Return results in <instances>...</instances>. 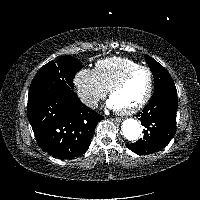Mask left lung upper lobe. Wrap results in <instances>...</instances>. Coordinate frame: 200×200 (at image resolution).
Wrapping results in <instances>:
<instances>
[{"label":"left lung upper lobe","instance_id":"obj_1","mask_svg":"<svg viewBox=\"0 0 200 200\" xmlns=\"http://www.w3.org/2000/svg\"><path fill=\"white\" fill-rule=\"evenodd\" d=\"M146 60L154 75L155 92L160 89H176L172 77L161 64L148 55H146Z\"/></svg>","mask_w":200,"mask_h":200}]
</instances>
